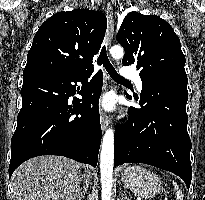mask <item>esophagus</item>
Masks as SVG:
<instances>
[{
  "mask_svg": "<svg viewBox=\"0 0 205 200\" xmlns=\"http://www.w3.org/2000/svg\"><path fill=\"white\" fill-rule=\"evenodd\" d=\"M106 15L108 19L107 46L109 47L111 45L113 34H114V13L111 4L107 5ZM100 121H101L102 130H105L109 125V118L103 110L100 111Z\"/></svg>",
  "mask_w": 205,
  "mask_h": 200,
  "instance_id": "1",
  "label": "esophagus"
}]
</instances>
